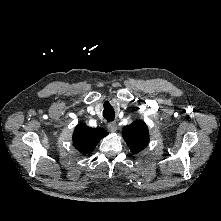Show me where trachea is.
Masks as SVG:
<instances>
[{"mask_svg":"<svg viewBox=\"0 0 221 221\" xmlns=\"http://www.w3.org/2000/svg\"><path fill=\"white\" fill-rule=\"evenodd\" d=\"M103 116L108 122L114 121L115 112L109 102L104 103Z\"/></svg>","mask_w":221,"mask_h":221,"instance_id":"1","label":"trachea"}]
</instances>
